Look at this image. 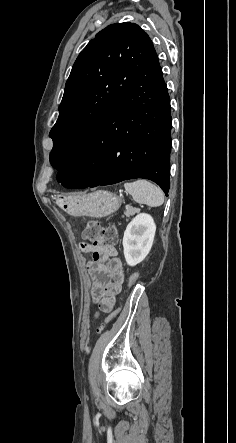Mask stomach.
<instances>
[{"instance_id":"1","label":"stomach","mask_w":236,"mask_h":443,"mask_svg":"<svg viewBox=\"0 0 236 443\" xmlns=\"http://www.w3.org/2000/svg\"><path fill=\"white\" fill-rule=\"evenodd\" d=\"M57 204L71 215L106 217L118 210L121 200L115 194L98 190L86 195L60 197Z\"/></svg>"}]
</instances>
